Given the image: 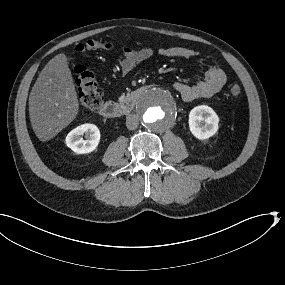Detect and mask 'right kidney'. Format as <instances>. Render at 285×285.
Masks as SVG:
<instances>
[{
  "instance_id": "1",
  "label": "right kidney",
  "mask_w": 285,
  "mask_h": 285,
  "mask_svg": "<svg viewBox=\"0 0 285 285\" xmlns=\"http://www.w3.org/2000/svg\"><path fill=\"white\" fill-rule=\"evenodd\" d=\"M89 133V140L79 139ZM100 131L94 124H83L74 128L66 137V145L77 154H90L96 150L100 143Z\"/></svg>"
}]
</instances>
